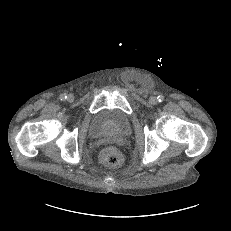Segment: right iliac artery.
Wrapping results in <instances>:
<instances>
[{
	"label": "right iliac artery",
	"instance_id": "82829eb1",
	"mask_svg": "<svg viewBox=\"0 0 231 231\" xmlns=\"http://www.w3.org/2000/svg\"><path fill=\"white\" fill-rule=\"evenodd\" d=\"M66 98H67V96H66L65 94H61V95H60V99H61L62 101H64Z\"/></svg>",
	"mask_w": 231,
	"mask_h": 231
}]
</instances>
